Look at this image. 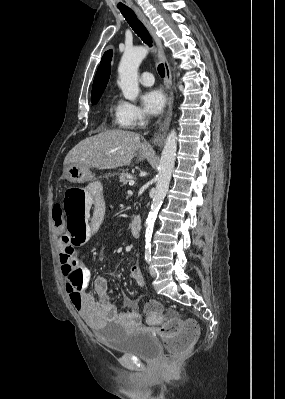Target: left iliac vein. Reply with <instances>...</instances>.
Instances as JSON below:
<instances>
[{
    "mask_svg": "<svg viewBox=\"0 0 285 399\" xmlns=\"http://www.w3.org/2000/svg\"><path fill=\"white\" fill-rule=\"evenodd\" d=\"M149 273H150V275H151V277H156V275H157V273H156V270L153 268V267H149Z\"/></svg>",
    "mask_w": 285,
    "mask_h": 399,
    "instance_id": "left-iliac-vein-1",
    "label": "left iliac vein"
}]
</instances>
